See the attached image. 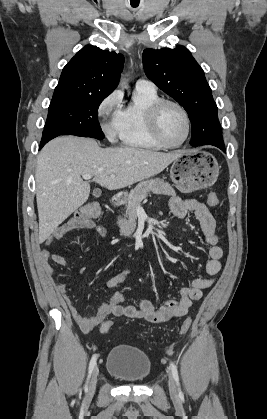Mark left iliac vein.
Listing matches in <instances>:
<instances>
[{"instance_id":"4c4485c4","label":"left iliac vein","mask_w":267,"mask_h":419,"mask_svg":"<svg viewBox=\"0 0 267 419\" xmlns=\"http://www.w3.org/2000/svg\"><path fill=\"white\" fill-rule=\"evenodd\" d=\"M168 387H169V392L170 395L173 398H177L178 393H177V389H176V385H175V381L173 376L169 373V377H168Z\"/></svg>"}]
</instances>
